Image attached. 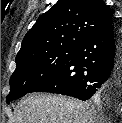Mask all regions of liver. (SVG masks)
I'll use <instances>...</instances> for the list:
<instances>
[{
  "instance_id": "obj_1",
  "label": "liver",
  "mask_w": 122,
  "mask_h": 123,
  "mask_svg": "<svg viewBox=\"0 0 122 123\" xmlns=\"http://www.w3.org/2000/svg\"><path fill=\"white\" fill-rule=\"evenodd\" d=\"M89 102L52 94H30L16 106V123H100Z\"/></svg>"
}]
</instances>
